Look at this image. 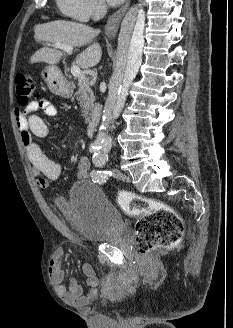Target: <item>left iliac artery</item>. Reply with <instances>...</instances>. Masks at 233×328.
Masks as SVG:
<instances>
[{
  "mask_svg": "<svg viewBox=\"0 0 233 328\" xmlns=\"http://www.w3.org/2000/svg\"><path fill=\"white\" fill-rule=\"evenodd\" d=\"M108 151L109 147H103L98 152L94 153L93 155V163L96 167H102L108 161ZM109 172L101 171V170H93L91 172V177L94 182L102 184L106 181Z\"/></svg>",
  "mask_w": 233,
  "mask_h": 328,
  "instance_id": "obj_1",
  "label": "left iliac artery"
}]
</instances>
